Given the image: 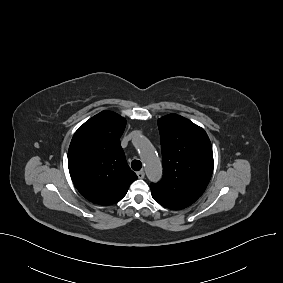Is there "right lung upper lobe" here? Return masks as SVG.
I'll return each mask as SVG.
<instances>
[{"label":"right lung upper lobe","instance_id":"right-lung-upper-lobe-1","mask_svg":"<svg viewBox=\"0 0 283 283\" xmlns=\"http://www.w3.org/2000/svg\"><path fill=\"white\" fill-rule=\"evenodd\" d=\"M126 120L102 111L75 132L68 167L77 190L89 201L111 205L121 200L137 175L129 168L120 145Z\"/></svg>","mask_w":283,"mask_h":283}]
</instances>
